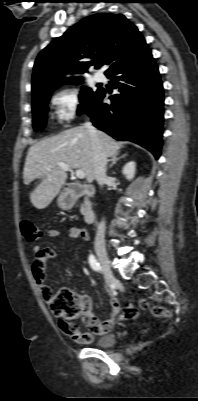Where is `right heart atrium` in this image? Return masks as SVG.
I'll return each mask as SVG.
<instances>
[{
  "mask_svg": "<svg viewBox=\"0 0 198 401\" xmlns=\"http://www.w3.org/2000/svg\"><path fill=\"white\" fill-rule=\"evenodd\" d=\"M56 120L60 124H69L77 116L82 99L80 93L73 88H63L55 92L51 97Z\"/></svg>",
  "mask_w": 198,
  "mask_h": 401,
  "instance_id": "d8ad5b80",
  "label": "right heart atrium"
}]
</instances>
